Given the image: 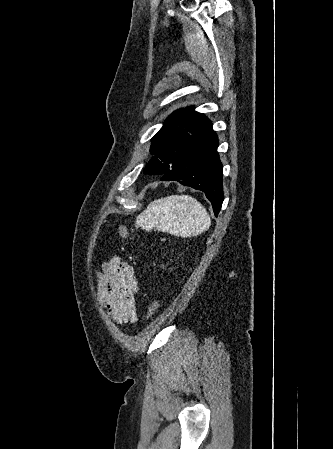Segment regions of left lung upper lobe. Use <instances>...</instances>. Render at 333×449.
<instances>
[{"label": "left lung upper lobe", "instance_id": "left-lung-upper-lobe-1", "mask_svg": "<svg viewBox=\"0 0 333 449\" xmlns=\"http://www.w3.org/2000/svg\"><path fill=\"white\" fill-rule=\"evenodd\" d=\"M207 117L182 108L167 118L163 127L152 138L151 153L154 154V170L150 174L164 175L179 167L186 159Z\"/></svg>", "mask_w": 333, "mask_h": 449}]
</instances>
